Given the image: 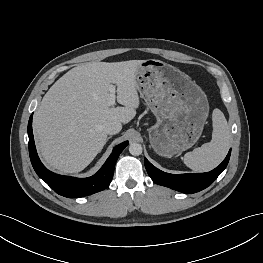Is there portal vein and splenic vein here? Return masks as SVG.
Masks as SVG:
<instances>
[{
  "instance_id": "1",
  "label": "portal vein and splenic vein",
  "mask_w": 263,
  "mask_h": 263,
  "mask_svg": "<svg viewBox=\"0 0 263 263\" xmlns=\"http://www.w3.org/2000/svg\"><path fill=\"white\" fill-rule=\"evenodd\" d=\"M109 91H110V96L108 98V105L112 106L115 104V101H116V95H115L116 87L114 85H110Z\"/></svg>"
}]
</instances>
